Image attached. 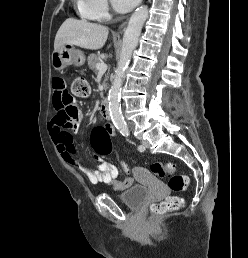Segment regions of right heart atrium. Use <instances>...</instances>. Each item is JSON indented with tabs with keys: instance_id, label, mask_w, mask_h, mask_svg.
<instances>
[{
	"instance_id": "obj_1",
	"label": "right heart atrium",
	"mask_w": 248,
	"mask_h": 258,
	"mask_svg": "<svg viewBox=\"0 0 248 258\" xmlns=\"http://www.w3.org/2000/svg\"><path fill=\"white\" fill-rule=\"evenodd\" d=\"M90 10L97 19H104L108 16L109 6L107 0H88Z\"/></svg>"
}]
</instances>
